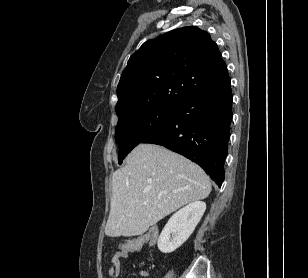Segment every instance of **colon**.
Wrapping results in <instances>:
<instances>
[{
    "label": "colon",
    "mask_w": 308,
    "mask_h": 278,
    "mask_svg": "<svg viewBox=\"0 0 308 278\" xmlns=\"http://www.w3.org/2000/svg\"><path fill=\"white\" fill-rule=\"evenodd\" d=\"M163 232L158 230L157 227H152L149 234L146 236L136 235L134 240H126L124 243H120V250H128V253H140V247L143 246V242L147 239L149 247H158V237H161Z\"/></svg>",
    "instance_id": "colon-1"
}]
</instances>
